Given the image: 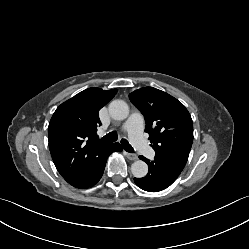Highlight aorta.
<instances>
[{"label": "aorta", "mask_w": 249, "mask_h": 249, "mask_svg": "<svg viewBox=\"0 0 249 249\" xmlns=\"http://www.w3.org/2000/svg\"><path fill=\"white\" fill-rule=\"evenodd\" d=\"M109 113L115 120H124L129 115V107L122 100H114L109 104ZM131 172L134 177L143 178L148 173V165L142 160H137L132 163Z\"/></svg>", "instance_id": "aorta-1"}]
</instances>
